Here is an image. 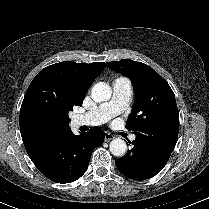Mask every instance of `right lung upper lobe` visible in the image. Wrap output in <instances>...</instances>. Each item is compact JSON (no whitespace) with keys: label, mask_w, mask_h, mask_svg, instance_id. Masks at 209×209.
I'll list each match as a JSON object with an SVG mask.
<instances>
[{"label":"right lung upper lobe","mask_w":209,"mask_h":209,"mask_svg":"<svg viewBox=\"0 0 209 209\" xmlns=\"http://www.w3.org/2000/svg\"><path fill=\"white\" fill-rule=\"evenodd\" d=\"M105 67L106 64L104 62L86 64L64 61L50 65L42 69L40 73L53 72L57 75L74 80L78 94L85 98L90 85L93 83L95 78L102 73ZM24 100L20 110V132L26 151L30 159H32L52 142L69 131L70 128L65 126L49 127L36 123L25 113Z\"/></svg>","instance_id":"obj_1"}]
</instances>
